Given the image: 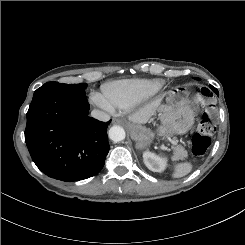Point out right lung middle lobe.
Listing matches in <instances>:
<instances>
[{
	"label": "right lung middle lobe",
	"mask_w": 245,
	"mask_h": 245,
	"mask_svg": "<svg viewBox=\"0 0 245 245\" xmlns=\"http://www.w3.org/2000/svg\"><path fill=\"white\" fill-rule=\"evenodd\" d=\"M86 87H87L86 83L63 84L58 82H47L34 92L33 97H36L48 91H71L76 93H85Z\"/></svg>",
	"instance_id": "dd1d6c3e"
}]
</instances>
